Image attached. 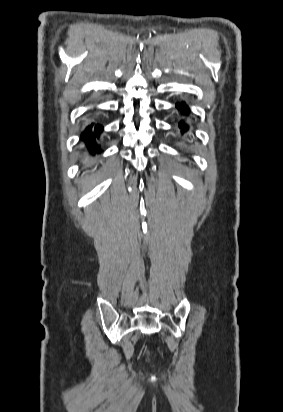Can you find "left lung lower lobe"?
Returning <instances> with one entry per match:
<instances>
[{"label": "left lung lower lobe", "mask_w": 283, "mask_h": 412, "mask_svg": "<svg viewBox=\"0 0 283 412\" xmlns=\"http://www.w3.org/2000/svg\"><path fill=\"white\" fill-rule=\"evenodd\" d=\"M176 106H177L178 109L183 110V105L182 104H177ZM185 108H186V106H185Z\"/></svg>", "instance_id": "left-lung-lower-lobe-1"}]
</instances>
